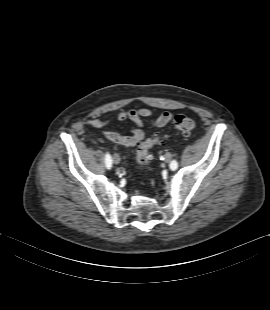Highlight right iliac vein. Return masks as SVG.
<instances>
[{
  "instance_id": "63e3f726",
  "label": "right iliac vein",
  "mask_w": 270,
  "mask_h": 310,
  "mask_svg": "<svg viewBox=\"0 0 270 310\" xmlns=\"http://www.w3.org/2000/svg\"><path fill=\"white\" fill-rule=\"evenodd\" d=\"M120 160L121 159H120L119 155H117V154L113 155V161H114L115 164H119Z\"/></svg>"
}]
</instances>
